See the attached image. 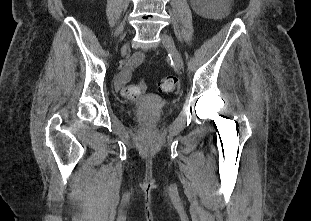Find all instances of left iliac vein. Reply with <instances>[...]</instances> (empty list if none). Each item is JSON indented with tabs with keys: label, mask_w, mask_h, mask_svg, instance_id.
Masks as SVG:
<instances>
[{
	"label": "left iliac vein",
	"mask_w": 311,
	"mask_h": 221,
	"mask_svg": "<svg viewBox=\"0 0 311 221\" xmlns=\"http://www.w3.org/2000/svg\"><path fill=\"white\" fill-rule=\"evenodd\" d=\"M161 41L162 44L164 45V47L170 52L175 67L180 71L183 69V60L181 57V54L179 53L178 49L175 46V43L172 39V37H170L168 34L166 33H162L161 34Z\"/></svg>",
	"instance_id": "obj_1"
}]
</instances>
